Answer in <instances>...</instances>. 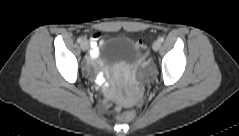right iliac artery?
Instances as JSON below:
<instances>
[{
    "mask_svg": "<svg viewBox=\"0 0 239 136\" xmlns=\"http://www.w3.org/2000/svg\"><path fill=\"white\" fill-rule=\"evenodd\" d=\"M81 41H82V39H81V38H77V42H79V43H80Z\"/></svg>",
    "mask_w": 239,
    "mask_h": 136,
    "instance_id": "1",
    "label": "right iliac artery"
}]
</instances>
